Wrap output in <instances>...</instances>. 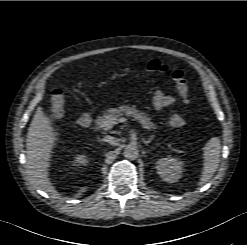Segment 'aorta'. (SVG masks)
I'll list each match as a JSON object with an SVG mask.
<instances>
[{
  "label": "aorta",
  "instance_id": "aorta-1",
  "mask_svg": "<svg viewBox=\"0 0 247 245\" xmlns=\"http://www.w3.org/2000/svg\"><path fill=\"white\" fill-rule=\"evenodd\" d=\"M123 155L126 159L135 160L139 155V149L136 145L128 144L124 148Z\"/></svg>",
  "mask_w": 247,
  "mask_h": 245
}]
</instances>
